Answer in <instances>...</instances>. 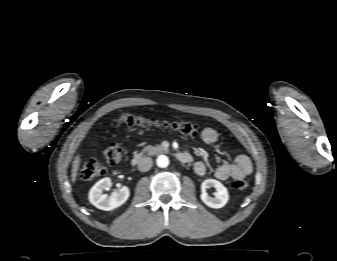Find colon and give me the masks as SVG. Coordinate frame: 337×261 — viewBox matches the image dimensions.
I'll return each instance as SVG.
<instances>
[{"instance_id": "obj_1", "label": "colon", "mask_w": 337, "mask_h": 261, "mask_svg": "<svg viewBox=\"0 0 337 261\" xmlns=\"http://www.w3.org/2000/svg\"><path fill=\"white\" fill-rule=\"evenodd\" d=\"M119 125L127 127H156L172 130L181 135L188 137H195L199 134V127L191 122L186 121H165V120H152L141 116L132 114H123L117 119ZM124 149L118 142L109 143L104 149V156L106 161L115 165L118 164L123 158ZM106 170L95 159H88L82 163L80 169V177L83 180H92L101 177L105 174ZM231 187L235 190H245L248 187V183L244 179H235L231 183Z\"/></svg>"}]
</instances>
